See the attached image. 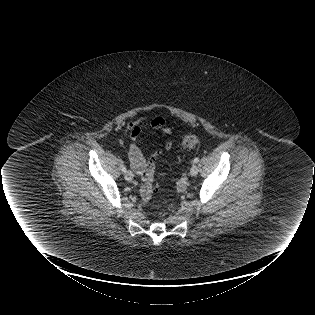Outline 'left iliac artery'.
Listing matches in <instances>:
<instances>
[{"label": "left iliac artery", "mask_w": 315, "mask_h": 315, "mask_svg": "<svg viewBox=\"0 0 315 315\" xmlns=\"http://www.w3.org/2000/svg\"><path fill=\"white\" fill-rule=\"evenodd\" d=\"M198 162H199V158L196 157V158L194 159V163H198Z\"/></svg>", "instance_id": "obj_1"}]
</instances>
